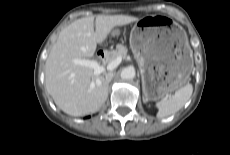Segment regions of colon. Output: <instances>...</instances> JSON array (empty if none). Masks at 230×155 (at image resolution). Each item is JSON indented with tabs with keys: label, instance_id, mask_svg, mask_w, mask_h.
I'll use <instances>...</instances> for the list:
<instances>
[{
	"label": "colon",
	"instance_id": "5ec220e1",
	"mask_svg": "<svg viewBox=\"0 0 230 155\" xmlns=\"http://www.w3.org/2000/svg\"><path fill=\"white\" fill-rule=\"evenodd\" d=\"M123 33H124V28L121 25H116L113 28V30L109 33V36L107 34H102L99 37V42L102 45H107L110 42V39L112 41H117Z\"/></svg>",
	"mask_w": 230,
	"mask_h": 155
}]
</instances>
